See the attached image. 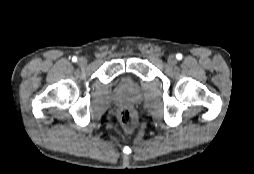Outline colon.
I'll use <instances>...</instances> for the list:
<instances>
[{
	"label": "colon",
	"mask_w": 254,
	"mask_h": 174,
	"mask_svg": "<svg viewBox=\"0 0 254 174\" xmlns=\"http://www.w3.org/2000/svg\"><path fill=\"white\" fill-rule=\"evenodd\" d=\"M119 122L126 133L134 132L139 125L137 114L128 107L120 110Z\"/></svg>",
	"instance_id": "obj_1"
}]
</instances>
